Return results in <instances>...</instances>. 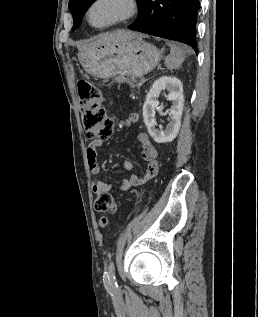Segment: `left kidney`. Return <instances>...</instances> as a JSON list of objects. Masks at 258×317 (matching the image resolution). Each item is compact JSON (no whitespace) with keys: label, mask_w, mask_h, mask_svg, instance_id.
<instances>
[{"label":"left kidney","mask_w":258,"mask_h":317,"mask_svg":"<svg viewBox=\"0 0 258 317\" xmlns=\"http://www.w3.org/2000/svg\"><path fill=\"white\" fill-rule=\"evenodd\" d=\"M169 90L168 100H172L173 106L169 112L171 118L165 130L155 128L157 122L155 118V108H158L157 96L160 90ZM183 86L181 80L176 76H160L153 82L143 104V120L148 128L149 134L153 136L155 142H171L176 138L181 126V116L183 110Z\"/></svg>","instance_id":"obj_1"}]
</instances>
